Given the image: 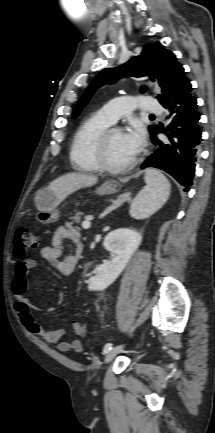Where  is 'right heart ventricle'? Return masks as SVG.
<instances>
[{"mask_svg":"<svg viewBox=\"0 0 215 433\" xmlns=\"http://www.w3.org/2000/svg\"><path fill=\"white\" fill-rule=\"evenodd\" d=\"M111 124L99 112L83 121L75 132L70 148V161L74 169L82 172L100 170L95 159L96 143L103 131Z\"/></svg>","mask_w":215,"mask_h":433,"instance_id":"e07e8e85","label":"right heart ventricle"}]
</instances>
